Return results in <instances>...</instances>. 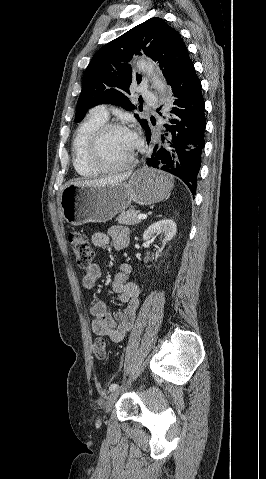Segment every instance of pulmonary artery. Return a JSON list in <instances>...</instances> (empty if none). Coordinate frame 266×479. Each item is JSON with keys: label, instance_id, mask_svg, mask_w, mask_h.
<instances>
[{"label": "pulmonary artery", "instance_id": "e3ab8cb5", "mask_svg": "<svg viewBox=\"0 0 266 479\" xmlns=\"http://www.w3.org/2000/svg\"><path fill=\"white\" fill-rule=\"evenodd\" d=\"M140 92H141L144 99H152L154 97L153 94L150 91H148L147 89L141 88ZM93 112L102 116V117H104V118H106V119L108 118V109H107V106L104 105V104L96 106L93 109Z\"/></svg>", "mask_w": 266, "mask_h": 479}]
</instances>
